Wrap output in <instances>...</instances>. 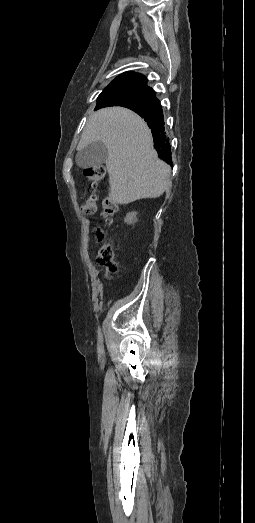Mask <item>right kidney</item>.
<instances>
[{
	"mask_svg": "<svg viewBox=\"0 0 255 523\" xmlns=\"http://www.w3.org/2000/svg\"><path fill=\"white\" fill-rule=\"evenodd\" d=\"M124 222H126V224H135V222H137V212H129L126 218H124Z\"/></svg>",
	"mask_w": 255,
	"mask_h": 523,
	"instance_id": "obj_1",
	"label": "right kidney"
}]
</instances>
